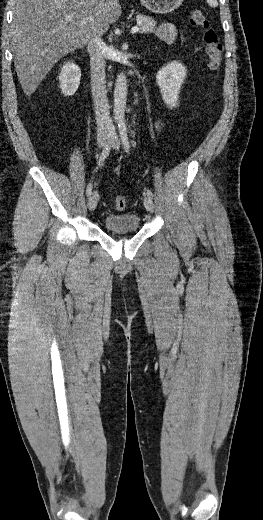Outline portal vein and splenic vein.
Returning <instances> with one entry per match:
<instances>
[{"label": "portal vein and splenic vein", "mask_w": 263, "mask_h": 520, "mask_svg": "<svg viewBox=\"0 0 263 520\" xmlns=\"http://www.w3.org/2000/svg\"><path fill=\"white\" fill-rule=\"evenodd\" d=\"M73 15H66V19H71ZM139 30L138 26H134L131 29V33H136Z\"/></svg>", "instance_id": "18ae733b"}]
</instances>
